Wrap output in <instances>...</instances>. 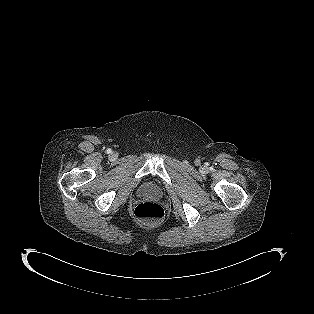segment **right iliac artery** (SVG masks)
Returning a JSON list of instances; mask_svg holds the SVG:
<instances>
[{"label": "right iliac artery", "mask_w": 314, "mask_h": 314, "mask_svg": "<svg viewBox=\"0 0 314 314\" xmlns=\"http://www.w3.org/2000/svg\"><path fill=\"white\" fill-rule=\"evenodd\" d=\"M107 153H111V149H107Z\"/></svg>", "instance_id": "right-iliac-artery-1"}]
</instances>
